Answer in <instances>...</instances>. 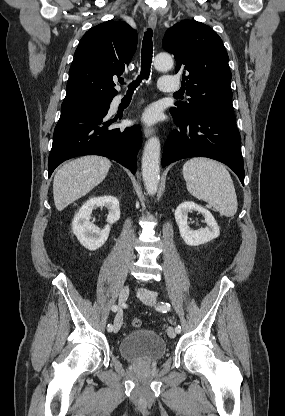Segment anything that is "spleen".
Wrapping results in <instances>:
<instances>
[{"mask_svg": "<svg viewBox=\"0 0 285 416\" xmlns=\"http://www.w3.org/2000/svg\"><path fill=\"white\" fill-rule=\"evenodd\" d=\"M183 178L191 196L204 200L222 216H235L237 196L231 176L223 164L209 158H192L183 166Z\"/></svg>", "mask_w": 285, "mask_h": 416, "instance_id": "1", "label": "spleen"}]
</instances>
